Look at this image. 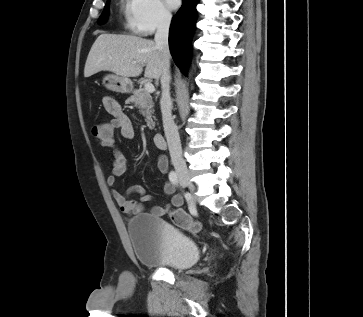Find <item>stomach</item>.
Returning <instances> with one entry per match:
<instances>
[{
    "mask_svg": "<svg viewBox=\"0 0 363 317\" xmlns=\"http://www.w3.org/2000/svg\"><path fill=\"white\" fill-rule=\"evenodd\" d=\"M103 85L115 92L119 93H130L133 89L132 82L121 76L115 74H107L103 78Z\"/></svg>",
    "mask_w": 363,
    "mask_h": 317,
    "instance_id": "1",
    "label": "stomach"
}]
</instances>
